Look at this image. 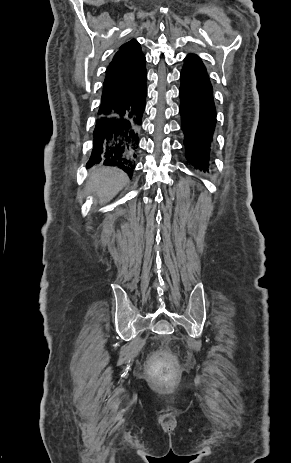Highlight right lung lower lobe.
Masks as SVG:
<instances>
[{
  "label": "right lung lower lobe",
  "instance_id": "right-lung-lower-lobe-1",
  "mask_svg": "<svg viewBox=\"0 0 291 463\" xmlns=\"http://www.w3.org/2000/svg\"><path fill=\"white\" fill-rule=\"evenodd\" d=\"M147 74L142 82L106 115L98 116L93 131V149L87 163L114 166L132 177L139 131L145 110Z\"/></svg>",
  "mask_w": 291,
  "mask_h": 463
}]
</instances>
